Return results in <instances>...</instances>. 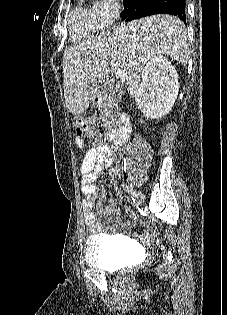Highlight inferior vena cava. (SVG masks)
I'll list each match as a JSON object with an SVG mask.
<instances>
[{"instance_id":"602c4592","label":"inferior vena cava","mask_w":227,"mask_h":315,"mask_svg":"<svg viewBox=\"0 0 227 315\" xmlns=\"http://www.w3.org/2000/svg\"><path fill=\"white\" fill-rule=\"evenodd\" d=\"M119 17V11H116L115 13H114V18H118Z\"/></svg>"}]
</instances>
